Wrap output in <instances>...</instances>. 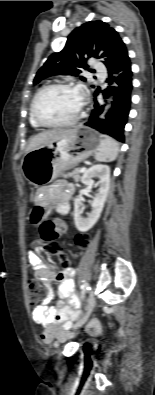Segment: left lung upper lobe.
I'll return each mask as SVG.
<instances>
[{
  "label": "left lung upper lobe",
  "instance_id": "1",
  "mask_svg": "<svg viewBox=\"0 0 155 395\" xmlns=\"http://www.w3.org/2000/svg\"><path fill=\"white\" fill-rule=\"evenodd\" d=\"M128 55L127 48L116 32L100 20L89 21L77 27L69 36L62 51L52 54L37 72L34 84L59 74L79 76L90 71V57L105 58L102 62L110 69ZM85 81L84 77H80Z\"/></svg>",
  "mask_w": 155,
  "mask_h": 395
}]
</instances>
